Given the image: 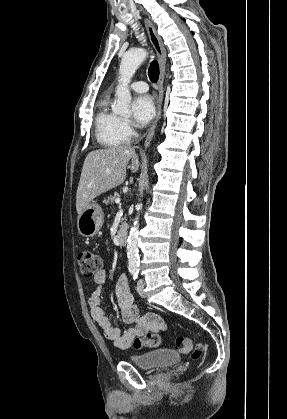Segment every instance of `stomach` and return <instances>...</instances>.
<instances>
[{
	"label": "stomach",
	"instance_id": "0dacf381",
	"mask_svg": "<svg viewBox=\"0 0 287 419\" xmlns=\"http://www.w3.org/2000/svg\"><path fill=\"white\" fill-rule=\"evenodd\" d=\"M102 224L103 211L100 205L95 202L89 203L77 219L78 231L84 237L95 236Z\"/></svg>",
	"mask_w": 287,
	"mask_h": 419
}]
</instances>
